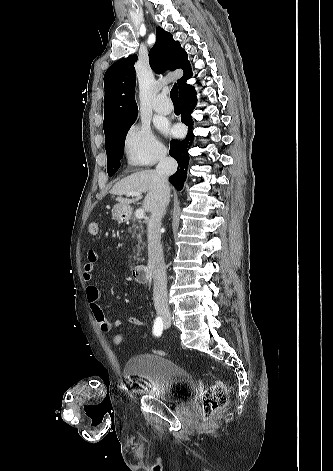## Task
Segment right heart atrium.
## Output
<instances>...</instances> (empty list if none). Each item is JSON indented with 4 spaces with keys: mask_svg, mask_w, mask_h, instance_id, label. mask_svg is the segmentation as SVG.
<instances>
[{
    "mask_svg": "<svg viewBox=\"0 0 333 471\" xmlns=\"http://www.w3.org/2000/svg\"><path fill=\"white\" fill-rule=\"evenodd\" d=\"M123 151L131 165H151L161 160L166 153L163 144L144 123H134L123 138Z\"/></svg>",
    "mask_w": 333,
    "mask_h": 471,
    "instance_id": "obj_1",
    "label": "right heart atrium"
}]
</instances>
